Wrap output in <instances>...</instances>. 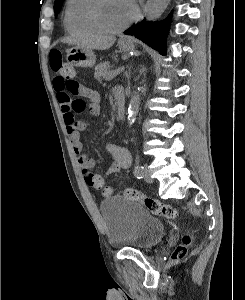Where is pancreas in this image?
<instances>
[{"mask_svg":"<svg viewBox=\"0 0 245 300\" xmlns=\"http://www.w3.org/2000/svg\"><path fill=\"white\" fill-rule=\"evenodd\" d=\"M110 65L108 62L100 63L95 67V78L98 80L103 79H109V73L111 72L109 70Z\"/></svg>","mask_w":245,"mask_h":300,"instance_id":"1","label":"pancreas"}]
</instances>
